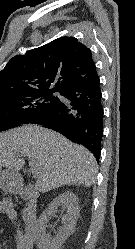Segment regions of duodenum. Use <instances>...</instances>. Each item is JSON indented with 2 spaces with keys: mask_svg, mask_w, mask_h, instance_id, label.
<instances>
[{
  "mask_svg": "<svg viewBox=\"0 0 135 249\" xmlns=\"http://www.w3.org/2000/svg\"><path fill=\"white\" fill-rule=\"evenodd\" d=\"M21 196L29 203L28 221H33V215L38 202V195L34 187L25 186L21 190Z\"/></svg>",
  "mask_w": 135,
  "mask_h": 249,
  "instance_id": "obj_1",
  "label": "duodenum"
}]
</instances>
